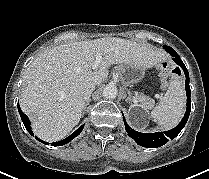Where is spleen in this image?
Instances as JSON below:
<instances>
[{"mask_svg":"<svg viewBox=\"0 0 209 179\" xmlns=\"http://www.w3.org/2000/svg\"><path fill=\"white\" fill-rule=\"evenodd\" d=\"M186 102L185 89L179 80L170 82L159 104L151 111L153 120L165 130L174 128L182 119Z\"/></svg>","mask_w":209,"mask_h":179,"instance_id":"obj_1","label":"spleen"}]
</instances>
